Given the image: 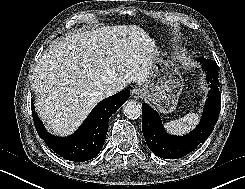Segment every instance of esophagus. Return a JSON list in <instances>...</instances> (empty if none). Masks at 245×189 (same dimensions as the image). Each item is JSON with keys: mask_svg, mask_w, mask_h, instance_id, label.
Instances as JSON below:
<instances>
[{"mask_svg": "<svg viewBox=\"0 0 245 189\" xmlns=\"http://www.w3.org/2000/svg\"><path fill=\"white\" fill-rule=\"evenodd\" d=\"M143 94V91L140 87H134L132 90H131V96L134 98V99H138L141 95Z\"/></svg>", "mask_w": 245, "mask_h": 189, "instance_id": "obj_1", "label": "esophagus"}]
</instances>
